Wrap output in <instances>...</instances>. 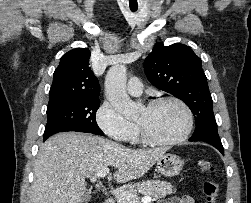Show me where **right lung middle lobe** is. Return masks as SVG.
<instances>
[{
	"label": "right lung middle lobe",
	"mask_w": 251,
	"mask_h": 203,
	"mask_svg": "<svg viewBox=\"0 0 251 203\" xmlns=\"http://www.w3.org/2000/svg\"><path fill=\"white\" fill-rule=\"evenodd\" d=\"M100 100L81 99L47 108L48 121L43 138L64 131H77L104 135L96 123Z\"/></svg>",
	"instance_id": "right-lung-middle-lobe-1"
}]
</instances>
